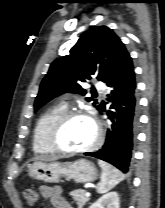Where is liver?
I'll return each instance as SVG.
<instances>
[{
    "instance_id": "obj_1",
    "label": "liver",
    "mask_w": 165,
    "mask_h": 208,
    "mask_svg": "<svg viewBox=\"0 0 165 208\" xmlns=\"http://www.w3.org/2000/svg\"><path fill=\"white\" fill-rule=\"evenodd\" d=\"M60 157H39L38 160H44V161H55L59 159Z\"/></svg>"
}]
</instances>
